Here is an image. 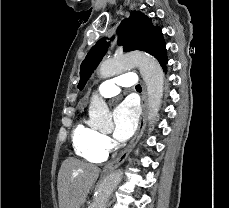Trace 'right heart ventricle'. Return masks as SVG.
Wrapping results in <instances>:
<instances>
[{
  "label": "right heart ventricle",
  "instance_id": "1",
  "mask_svg": "<svg viewBox=\"0 0 229 208\" xmlns=\"http://www.w3.org/2000/svg\"><path fill=\"white\" fill-rule=\"evenodd\" d=\"M100 133L91 125L79 121L72 130L71 144L74 153L88 162H98L104 159L105 153L97 146Z\"/></svg>",
  "mask_w": 229,
  "mask_h": 208
}]
</instances>
